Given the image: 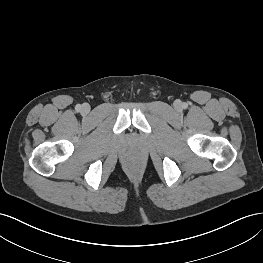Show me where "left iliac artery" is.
Masks as SVG:
<instances>
[{
	"label": "left iliac artery",
	"mask_w": 263,
	"mask_h": 263,
	"mask_svg": "<svg viewBox=\"0 0 263 263\" xmlns=\"http://www.w3.org/2000/svg\"><path fill=\"white\" fill-rule=\"evenodd\" d=\"M184 108H186L187 107V105L186 104H184V106H183Z\"/></svg>",
	"instance_id": "left-iliac-artery-1"
}]
</instances>
